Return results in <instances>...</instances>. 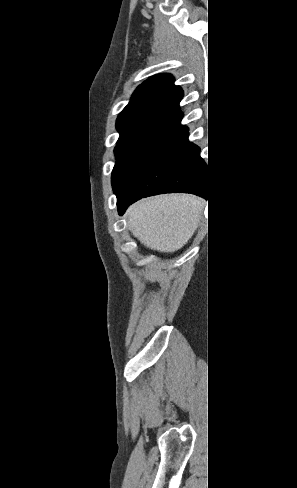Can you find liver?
<instances>
[{"instance_id": "6515ba94", "label": "liver", "mask_w": 297, "mask_h": 488, "mask_svg": "<svg viewBox=\"0 0 297 488\" xmlns=\"http://www.w3.org/2000/svg\"><path fill=\"white\" fill-rule=\"evenodd\" d=\"M205 201L190 194H165L140 200L127 210L134 237L151 250L172 253L193 236Z\"/></svg>"}]
</instances>
